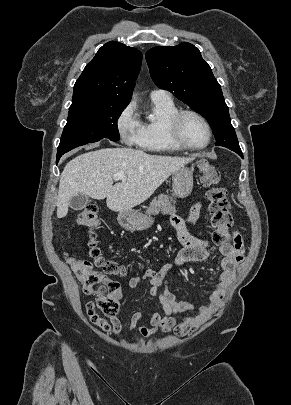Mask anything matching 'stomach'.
I'll use <instances>...</instances> for the list:
<instances>
[{"label":"stomach","instance_id":"stomach-1","mask_svg":"<svg viewBox=\"0 0 291 405\" xmlns=\"http://www.w3.org/2000/svg\"><path fill=\"white\" fill-rule=\"evenodd\" d=\"M193 189V171L182 167L172 176V193L178 198L188 197ZM119 224L126 230L139 231L149 228L153 224L152 217L137 210L121 211L118 215Z\"/></svg>","mask_w":291,"mask_h":405}]
</instances>
